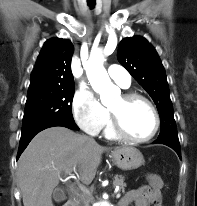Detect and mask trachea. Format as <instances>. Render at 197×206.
Returning <instances> with one entry per match:
<instances>
[{
    "label": "trachea",
    "instance_id": "obj_1",
    "mask_svg": "<svg viewBox=\"0 0 197 206\" xmlns=\"http://www.w3.org/2000/svg\"><path fill=\"white\" fill-rule=\"evenodd\" d=\"M88 5L93 8L95 6V2L93 0H88Z\"/></svg>",
    "mask_w": 197,
    "mask_h": 206
}]
</instances>
